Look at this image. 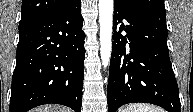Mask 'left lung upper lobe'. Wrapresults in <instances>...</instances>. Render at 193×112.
<instances>
[{"label": "left lung upper lobe", "instance_id": "1", "mask_svg": "<svg viewBox=\"0 0 193 112\" xmlns=\"http://www.w3.org/2000/svg\"><path fill=\"white\" fill-rule=\"evenodd\" d=\"M114 5L130 13L157 9L165 11L164 0H114Z\"/></svg>", "mask_w": 193, "mask_h": 112}]
</instances>
